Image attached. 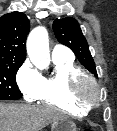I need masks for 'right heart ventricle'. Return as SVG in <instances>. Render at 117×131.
Returning a JSON list of instances; mask_svg holds the SVG:
<instances>
[{"mask_svg": "<svg viewBox=\"0 0 117 131\" xmlns=\"http://www.w3.org/2000/svg\"><path fill=\"white\" fill-rule=\"evenodd\" d=\"M53 64L52 74L42 78L36 100L73 116L87 115L91 107L78 101L70 90L71 81L83 73L82 70L75 64L73 58L56 59L53 60Z\"/></svg>", "mask_w": 117, "mask_h": 131, "instance_id": "right-heart-ventricle-1", "label": "right heart ventricle"}]
</instances>
